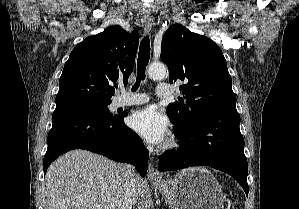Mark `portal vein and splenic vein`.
<instances>
[{"mask_svg":"<svg viewBox=\"0 0 299 209\" xmlns=\"http://www.w3.org/2000/svg\"><path fill=\"white\" fill-rule=\"evenodd\" d=\"M95 209H102V206H101V205H97V206L95 207Z\"/></svg>","mask_w":299,"mask_h":209,"instance_id":"18ae733b","label":"portal vein and splenic vein"}]
</instances>
